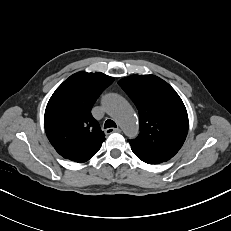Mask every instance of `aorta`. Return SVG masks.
<instances>
[{
    "instance_id": "aorta-1",
    "label": "aorta",
    "mask_w": 231,
    "mask_h": 231,
    "mask_svg": "<svg viewBox=\"0 0 231 231\" xmlns=\"http://www.w3.org/2000/svg\"><path fill=\"white\" fill-rule=\"evenodd\" d=\"M103 106L120 124L123 132L130 138L138 134V127L133 110L129 103L120 95L109 94L103 100Z\"/></svg>"
}]
</instances>
